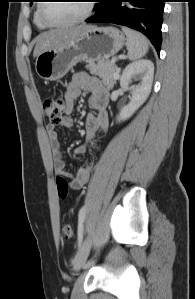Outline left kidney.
Returning <instances> with one entry per match:
<instances>
[{
	"instance_id": "5707ae66",
	"label": "left kidney",
	"mask_w": 195,
	"mask_h": 299,
	"mask_svg": "<svg viewBox=\"0 0 195 299\" xmlns=\"http://www.w3.org/2000/svg\"><path fill=\"white\" fill-rule=\"evenodd\" d=\"M153 75L154 65L147 59L131 63L124 69L120 78V86L130 90L132 97L117 116L118 122L129 119L146 101L151 91ZM133 80L139 81V84L130 86Z\"/></svg>"
}]
</instances>
